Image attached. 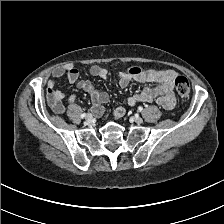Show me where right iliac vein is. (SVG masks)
Segmentation results:
<instances>
[{"mask_svg":"<svg viewBox=\"0 0 224 224\" xmlns=\"http://www.w3.org/2000/svg\"><path fill=\"white\" fill-rule=\"evenodd\" d=\"M91 119H92V116H91L90 114H88V115L86 116V121H87V122H90Z\"/></svg>","mask_w":224,"mask_h":224,"instance_id":"63e3f726","label":"right iliac vein"}]
</instances>
